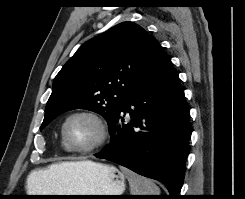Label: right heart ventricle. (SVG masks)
<instances>
[{
	"label": "right heart ventricle",
	"mask_w": 245,
	"mask_h": 199,
	"mask_svg": "<svg viewBox=\"0 0 245 199\" xmlns=\"http://www.w3.org/2000/svg\"><path fill=\"white\" fill-rule=\"evenodd\" d=\"M61 145L64 148V150L69 151L63 140L61 141Z\"/></svg>",
	"instance_id": "e07e8e85"
}]
</instances>
